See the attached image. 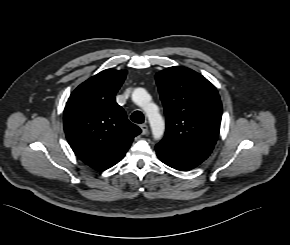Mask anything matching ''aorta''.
<instances>
[{
    "mask_svg": "<svg viewBox=\"0 0 290 245\" xmlns=\"http://www.w3.org/2000/svg\"><path fill=\"white\" fill-rule=\"evenodd\" d=\"M149 98V94L143 88H136L132 93V100L143 107L151 127L153 138L160 140L165 131V122L158 111L157 105L154 103H146V99Z\"/></svg>",
    "mask_w": 290,
    "mask_h": 245,
    "instance_id": "762f6f07",
    "label": "aorta"
}]
</instances>
